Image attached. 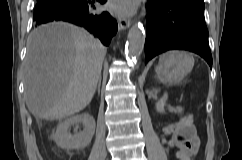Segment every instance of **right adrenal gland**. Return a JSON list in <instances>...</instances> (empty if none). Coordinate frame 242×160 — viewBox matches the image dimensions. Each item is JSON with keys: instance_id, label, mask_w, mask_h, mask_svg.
I'll return each mask as SVG.
<instances>
[{"instance_id": "2a0ac1e0", "label": "right adrenal gland", "mask_w": 242, "mask_h": 160, "mask_svg": "<svg viewBox=\"0 0 242 160\" xmlns=\"http://www.w3.org/2000/svg\"><path fill=\"white\" fill-rule=\"evenodd\" d=\"M100 86H101V79H99V82H98V93H100Z\"/></svg>"}]
</instances>
